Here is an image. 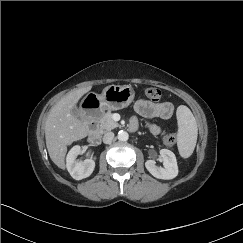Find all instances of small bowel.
<instances>
[{"label":"small bowel","mask_w":243,"mask_h":243,"mask_svg":"<svg viewBox=\"0 0 243 243\" xmlns=\"http://www.w3.org/2000/svg\"><path fill=\"white\" fill-rule=\"evenodd\" d=\"M135 111L138 115L144 118H161L170 119L174 113V107L170 102L156 103L146 100H138L135 104ZM136 119L132 120V125L135 126ZM150 131L155 135H162L163 131L156 124H149Z\"/></svg>","instance_id":"obj_1"}]
</instances>
